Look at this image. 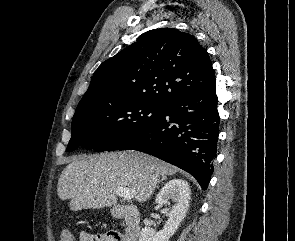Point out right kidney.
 I'll list each match as a JSON object with an SVG mask.
<instances>
[{"label":"right kidney","instance_id":"1","mask_svg":"<svg viewBox=\"0 0 295 241\" xmlns=\"http://www.w3.org/2000/svg\"><path fill=\"white\" fill-rule=\"evenodd\" d=\"M191 190L187 181L183 179H173L167 182L158 192L155 202L159 205H170V201L174 204L171 208L166 209L168 220L163 230L156 232L151 227L142 229L139 241H169L181 222L186 216L189 208Z\"/></svg>","mask_w":295,"mask_h":241}]
</instances>
